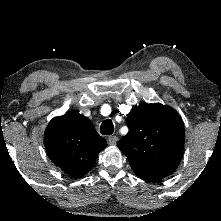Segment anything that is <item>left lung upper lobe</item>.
<instances>
[{"label": "left lung upper lobe", "mask_w": 221, "mask_h": 221, "mask_svg": "<svg viewBox=\"0 0 221 221\" xmlns=\"http://www.w3.org/2000/svg\"><path fill=\"white\" fill-rule=\"evenodd\" d=\"M129 132L118 142L135 174L155 182L172 174L184 148V126L176 110L158 104L140 105L128 115Z\"/></svg>", "instance_id": "left-lung-upper-lobe-1"}]
</instances>
